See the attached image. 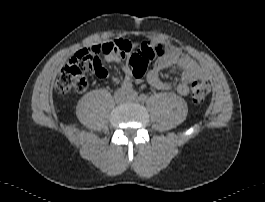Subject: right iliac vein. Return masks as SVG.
Returning a JSON list of instances; mask_svg holds the SVG:
<instances>
[{"instance_id": "obj_1", "label": "right iliac vein", "mask_w": 265, "mask_h": 202, "mask_svg": "<svg viewBox=\"0 0 265 202\" xmlns=\"http://www.w3.org/2000/svg\"><path fill=\"white\" fill-rule=\"evenodd\" d=\"M115 100L119 103H122V102H125L127 100L126 98V94L123 90H118L116 93H115Z\"/></svg>"}]
</instances>
